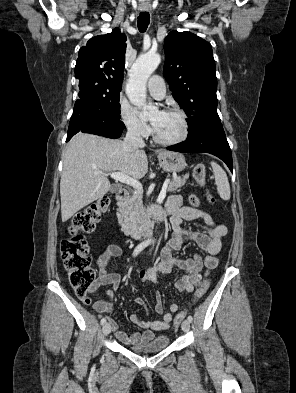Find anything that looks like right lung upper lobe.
Segmentation results:
<instances>
[{
  "instance_id": "right-lung-upper-lobe-1",
  "label": "right lung upper lobe",
  "mask_w": 296,
  "mask_h": 393,
  "mask_svg": "<svg viewBox=\"0 0 296 393\" xmlns=\"http://www.w3.org/2000/svg\"><path fill=\"white\" fill-rule=\"evenodd\" d=\"M126 36L115 28L111 33L91 38L80 48L75 66V78L95 80L121 90L125 63Z\"/></svg>"
}]
</instances>
